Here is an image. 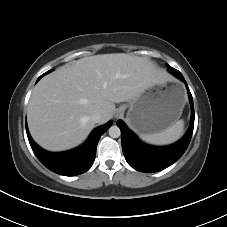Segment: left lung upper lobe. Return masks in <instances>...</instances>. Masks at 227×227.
Segmentation results:
<instances>
[{"label":"left lung upper lobe","mask_w":227,"mask_h":227,"mask_svg":"<svg viewBox=\"0 0 227 227\" xmlns=\"http://www.w3.org/2000/svg\"><path fill=\"white\" fill-rule=\"evenodd\" d=\"M166 65H167V67H168L169 70L174 69V68H172L171 66H169L168 64H166Z\"/></svg>","instance_id":"left-lung-upper-lobe-1"}]
</instances>
